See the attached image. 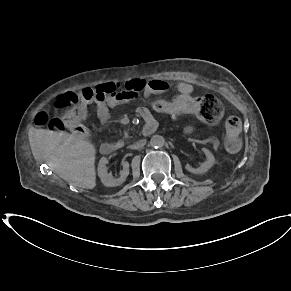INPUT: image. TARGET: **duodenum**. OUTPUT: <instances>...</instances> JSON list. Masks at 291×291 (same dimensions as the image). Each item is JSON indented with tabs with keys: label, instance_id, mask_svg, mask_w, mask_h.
<instances>
[{
	"label": "duodenum",
	"instance_id": "410a0bca",
	"mask_svg": "<svg viewBox=\"0 0 291 291\" xmlns=\"http://www.w3.org/2000/svg\"><path fill=\"white\" fill-rule=\"evenodd\" d=\"M147 122L143 128L145 134H152L156 130V122L152 116L148 117ZM117 149V146L113 143L106 142L103 143L100 147V151L104 155L112 154Z\"/></svg>",
	"mask_w": 291,
	"mask_h": 291
}]
</instances>
